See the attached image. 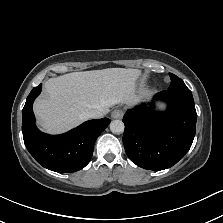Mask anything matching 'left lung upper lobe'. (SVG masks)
<instances>
[{"mask_svg": "<svg viewBox=\"0 0 223 223\" xmlns=\"http://www.w3.org/2000/svg\"><path fill=\"white\" fill-rule=\"evenodd\" d=\"M171 78V84L168 89L178 90V91H190L182 79L177 77L176 75L169 73Z\"/></svg>", "mask_w": 223, "mask_h": 223, "instance_id": "5c2ea615", "label": "left lung upper lobe"}]
</instances>
